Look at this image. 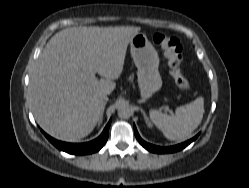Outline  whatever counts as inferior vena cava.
Here are the masks:
<instances>
[{
  "label": "inferior vena cava",
  "instance_id": "602c4592",
  "mask_svg": "<svg viewBox=\"0 0 249 188\" xmlns=\"http://www.w3.org/2000/svg\"><path fill=\"white\" fill-rule=\"evenodd\" d=\"M104 100H105V101H107V100H108V98H107V97H104Z\"/></svg>",
  "mask_w": 249,
  "mask_h": 188
}]
</instances>
